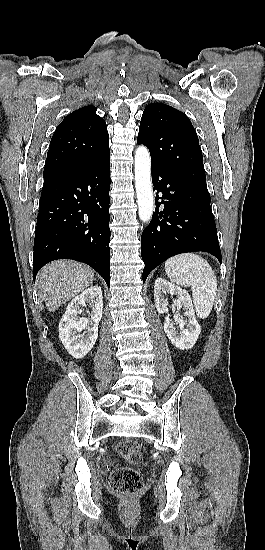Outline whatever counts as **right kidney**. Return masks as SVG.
Instances as JSON below:
<instances>
[{"mask_svg": "<svg viewBox=\"0 0 265 550\" xmlns=\"http://www.w3.org/2000/svg\"><path fill=\"white\" fill-rule=\"evenodd\" d=\"M88 305L92 308L90 318L79 317ZM102 311V290L98 285L83 291L67 306L59 323V338L74 358H83L93 348L98 337ZM83 330L86 331L85 334H81Z\"/></svg>", "mask_w": 265, "mask_h": 550, "instance_id": "1", "label": "right kidney"}]
</instances>
